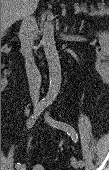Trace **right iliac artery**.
<instances>
[{
  "label": "right iliac artery",
  "instance_id": "82829eb1",
  "mask_svg": "<svg viewBox=\"0 0 109 170\" xmlns=\"http://www.w3.org/2000/svg\"><path fill=\"white\" fill-rule=\"evenodd\" d=\"M46 106H47L46 102H40L36 106L33 115L26 122V125H27L28 129L33 127V125L35 124L37 118L40 116V114L43 112V110L45 109ZM20 165H21L20 163H16L15 167L18 168Z\"/></svg>",
  "mask_w": 109,
  "mask_h": 170
}]
</instances>
